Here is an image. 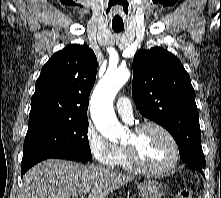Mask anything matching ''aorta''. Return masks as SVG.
<instances>
[{
    "instance_id": "obj_1",
    "label": "aorta",
    "mask_w": 221,
    "mask_h": 198,
    "mask_svg": "<svg viewBox=\"0 0 221 198\" xmlns=\"http://www.w3.org/2000/svg\"><path fill=\"white\" fill-rule=\"evenodd\" d=\"M129 78L128 69H109L98 82L91 97V118L98 131L111 141H117L125 135V129L114 113L113 101Z\"/></svg>"
}]
</instances>
